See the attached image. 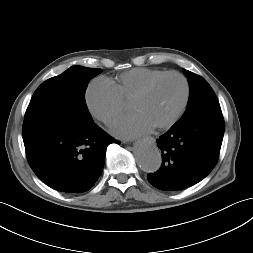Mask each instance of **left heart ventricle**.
Returning <instances> with one entry per match:
<instances>
[{
    "label": "left heart ventricle",
    "instance_id": "b2bd125f",
    "mask_svg": "<svg viewBox=\"0 0 253 253\" xmlns=\"http://www.w3.org/2000/svg\"><path fill=\"white\" fill-rule=\"evenodd\" d=\"M183 96V82L178 77L170 76L158 82L146 96L131 103L130 108L157 126L176 114Z\"/></svg>",
    "mask_w": 253,
    "mask_h": 253
}]
</instances>
